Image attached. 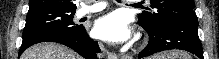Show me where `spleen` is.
I'll use <instances>...</instances> for the list:
<instances>
[{"label":"spleen","instance_id":"3e777b00","mask_svg":"<svg viewBox=\"0 0 219 59\" xmlns=\"http://www.w3.org/2000/svg\"><path fill=\"white\" fill-rule=\"evenodd\" d=\"M168 58H173V59H189L190 57H188L187 55H178V54H170V56H168Z\"/></svg>","mask_w":219,"mask_h":59}]
</instances>
